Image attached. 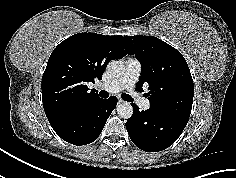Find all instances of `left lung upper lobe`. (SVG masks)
<instances>
[{"instance_id": "1", "label": "left lung upper lobe", "mask_w": 236, "mask_h": 178, "mask_svg": "<svg viewBox=\"0 0 236 178\" xmlns=\"http://www.w3.org/2000/svg\"><path fill=\"white\" fill-rule=\"evenodd\" d=\"M142 64L137 89L149 84L146 93L151 107L189 118L193 94V79L181 53L154 36H125Z\"/></svg>"}]
</instances>
